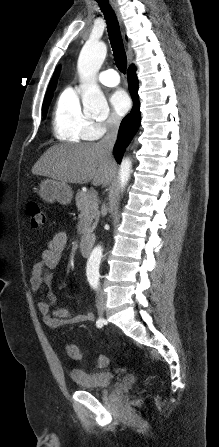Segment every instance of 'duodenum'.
<instances>
[{
  "label": "duodenum",
  "mask_w": 219,
  "mask_h": 447,
  "mask_svg": "<svg viewBox=\"0 0 219 447\" xmlns=\"http://www.w3.org/2000/svg\"><path fill=\"white\" fill-rule=\"evenodd\" d=\"M92 247V238L91 236L84 237L80 242V250L83 256L87 257L90 255Z\"/></svg>",
  "instance_id": "410a0bca"
}]
</instances>
